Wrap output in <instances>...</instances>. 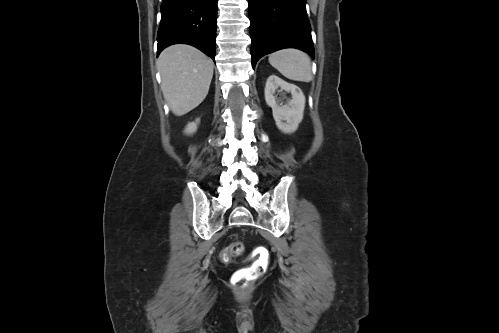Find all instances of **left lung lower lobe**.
I'll return each mask as SVG.
<instances>
[{"mask_svg":"<svg viewBox=\"0 0 499 333\" xmlns=\"http://www.w3.org/2000/svg\"><path fill=\"white\" fill-rule=\"evenodd\" d=\"M306 0H249L252 65L269 53L297 48L314 58Z\"/></svg>","mask_w":499,"mask_h":333,"instance_id":"obj_1","label":"left lung lower lobe"}]
</instances>
